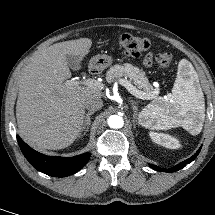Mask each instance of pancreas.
Here are the masks:
<instances>
[{"instance_id":"pancreas-1","label":"pancreas","mask_w":215,"mask_h":215,"mask_svg":"<svg viewBox=\"0 0 215 215\" xmlns=\"http://www.w3.org/2000/svg\"><path fill=\"white\" fill-rule=\"evenodd\" d=\"M121 76L128 77L139 89H142L143 92L154 93L156 96L159 93V90L153 88L145 76V73L139 67L128 63L124 65H114L107 71L106 80L108 83H111Z\"/></svg>"}]
</instances>
